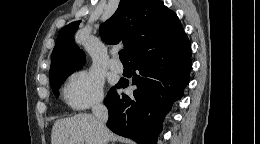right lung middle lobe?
<instances>
[{
	"instance_id": "dd1d6c3e",
	"label": "right lung middle lobe",
	"mask_w": 260,
	"mask_h": 144,
	"mask_svg": "<svg viewBox=\"0 0 260 144\" xmlns=\"http://www.w3.org/2000/svg\"><path fill=\"white\" fill-rule=\"evenodd\" d=\"M79 68H74V69H68V70H63L54 74L49 75L50 77V84L51 88L54 91L56 95H58V89L64 82V80L72 74L74 71L78 70Z\"/></svg>"
}]
</instances>
